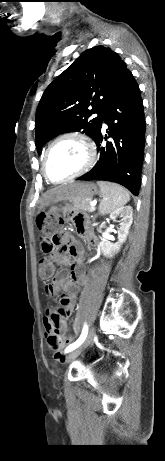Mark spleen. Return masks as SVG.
Wrapping results in <instances>:
<instances>
[{"label": "spleen", "instance_id": "obj_1", "mask_svg": "<svg viewBox=\"0 0 165 461\" xmlns=\"http://www.w3.org/2000/svg\"><path fill=\"white\" fill-rule=\"evenodd\" d=\"M97 184L102 198L99 205L101 214H109L130 200L128 191L118 184L104 181H99Z\"/></svg>", "mask_w": 165, "mask_h": 461}]
</instances>
